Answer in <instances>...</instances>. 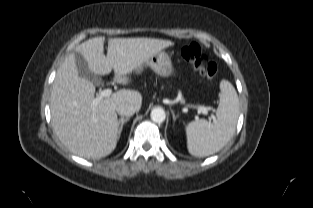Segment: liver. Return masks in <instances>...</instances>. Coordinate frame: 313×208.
I'll use <instances>...</instances> for the list:
<instances>
[{
	"instance_id": "6515ba94",
	"label": "liver",
	"mask_w": 313,
	"mask_h": 208,
	"mask_svg": "<svg viewBox=\"0 0 313 208\" xmlns=\"http://www.w3.org/2000/svg\"><path fill=\"white\" fill-rule=\"evenodd\" d=\"M104 37H95L75 49L98 75L114 71V81L131 82L129 75L151 56L169 46L170 40L154 38H111L107 56ZM93 83L78 73L74 53L64 60L53 82L50 109L55 134L72 153L88 159H100L111 154L119 139L116 107L130 103L140 110L142 95L135 90L121 89L93 104Z\"/></svg>"
}]
</instances>
